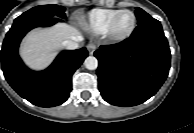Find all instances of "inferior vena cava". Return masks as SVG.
Wrapping results in <instances>:
<instances>
[{
  "mask_svg": "<svg viewBox=\"0 0 194 133\" xmlns=\"http://www.w3.org/2000/svg\"><path fill=\"white\" fill-rule=\"evenodd\" d=\"M82 40H83L82 36H77L73 40L63 41L62 45L68 50H74V49L78 48V46H79L78 42L82 41Z\"/></svg>",
  "mask_w": 194,
  "mask_h": 133,
  "instance_id": "obj_1",
  "label": "inferior vena cava"
}]
</instances>
